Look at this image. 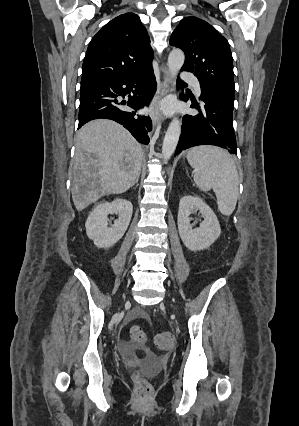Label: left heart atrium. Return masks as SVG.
Segmentation results:
<instances>
[{"instance_id":"39dd6f15","label":"left heart atrium","mask_w":299,"mask_h":426,"mask_svg":"<svg viewBox=\"0 0 299 426\" xmlns=\"http://www.w3.org/2000/svg\"><path fill=\"white\" fill-rule=\"evenodd\" d=\"M165 108H166V109H169V104H166V105H165Z\"/></svg>"}]
</instances>
